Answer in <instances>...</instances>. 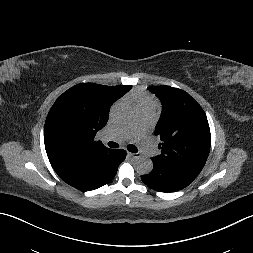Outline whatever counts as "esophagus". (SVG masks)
Here are the masks:
<instances>
[{
  "mask_svg": "<svg viewBox=\"0 0 253 253\" xmlns=\"http://www.w3.org/2000/svg\"><path fill=\"white\" fill-rule=\"evenodd\" d=\"M127 154H128L129 157H131L133 159H138L140 157V155L138 153L128 152Z\"/></svg>",
  "mask_w": 253,
  "mask_h": 253,
  "instance_id": "34e87169",
  "label": "esophagus"
}]
</instances>
